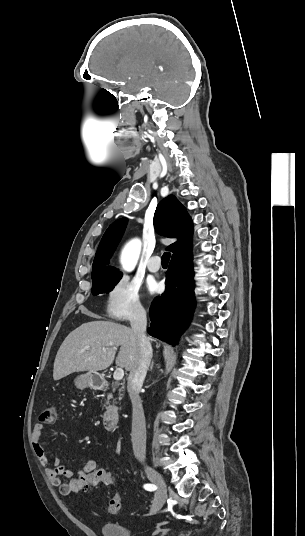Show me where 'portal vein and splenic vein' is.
<instances>
[{
    "instance_id": "18ae733b",
    "label": "portal vein and splenic vein",
    "mask_w": 305,
    "mask_h": 536,
    "mask_svg": "<svg viewBox=\"0 0 305 536\" xmlns=\"http://www.w3.org/2000/svg\"><path fill=\"white\" fill-rule=\"evenodd\" d=\"M84 350H89V346H85ZM107 348H103V352H106ZM124 376V370L122 368H116L113 378L114 380H122Z\"/></svg>"
}]
</instances>
